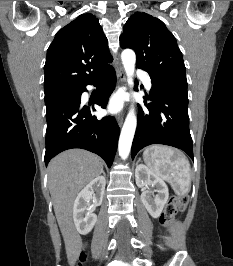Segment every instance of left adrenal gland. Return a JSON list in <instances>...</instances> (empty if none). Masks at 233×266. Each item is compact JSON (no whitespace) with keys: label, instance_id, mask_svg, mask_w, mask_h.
Masks as SVG:
<instances>
[{"label":"left adrenal gland","instance_id":"obj_1","mask_svg":"<svg viewBox=\"0 0 233 266\" xmlns=\"http://www.w3.org/2000/svg\"><path fill=\"white\" fill-rule=\"evenodd\" d=\"M140 160H141V159H139V160L137 161V164L140 162ZM137 166H138V165H137Z\"/></svg>","mask_w":233,"mask_h":266}]
</instances>
